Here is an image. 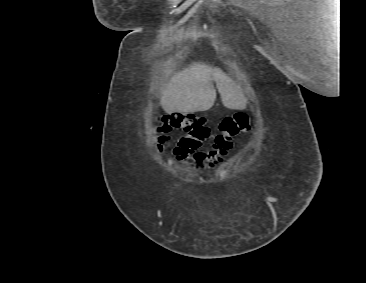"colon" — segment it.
<instances>
[{"mask_svg":"<svg viewBox=\"0 0 366 283\" xmlns=\"http://www.w3.org/2000/svg\"><path fill=\"white\" fill-rule=\"evenodd\" d=\"M249 128L250 121L245 113L225 117L219 125V132L214 136L210 151L200 152L201 144L210 137V130L202 117L193 113H172L161 116L158 126V130L165 133L174 129L184 131L173 150L178 160L194 159L210 164H213V159L222 146L232 145L233 139Z\"/></svg>","mask_w":366,"mask_h":283,"instance_id":"1","label":"colon"}]
</instances>
